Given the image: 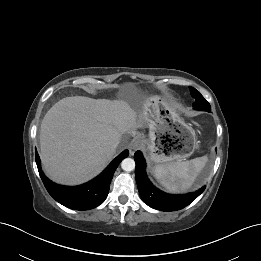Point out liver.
I'll use <instances>...</instances> for the list:
<instances>
[{"label":"liver","instance_id":"1","mask_svg":"<svg viewBox=\"0 0 261 261\" xmlns=\"http://www.w3.org/2000/svg\"><path fill=\"white\" fill-rule=\"evenodd\" d=\"M150 101L66 97L44 116L40 130L41 160L46 174L66 185L98 175L116 152L124 134H137L150 120Z\"/></svg>","mask_w":261,"mask_h":261}]
</instances>
